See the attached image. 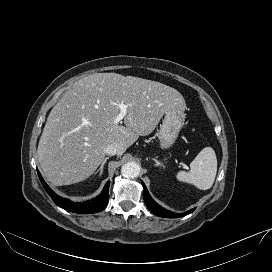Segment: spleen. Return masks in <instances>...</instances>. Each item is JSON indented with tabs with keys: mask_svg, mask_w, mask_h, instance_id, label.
<instances>
[{
	"mask_svg": "<svg viewBox=\"0 0 272 272\" xmlns=\"http://www.w3.org/2000/svg\"><path fill=\"white\" fill-rule=\"evenodd\" d=\"M189 172L179 171L176 178L180 182L189 183L200 190L212 187L217 173V158L211 147L202 149L190 163Z\"/></svg>",
	"mask_w": 272,
	"mask_h": 272,
	"instance_id": "1",
	"label": "spleen"
}]
</instances>
